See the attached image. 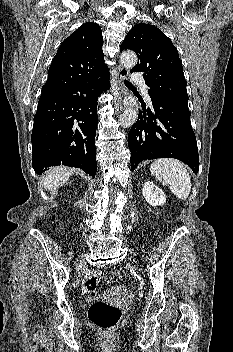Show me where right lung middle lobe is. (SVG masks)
Returning a JSON list of instances; mask_svg holds the SVG:
<instances>
[{"label":"right lung middle lobe","instance_id":"right-lung-middle-lobe-1","mask_svg":"<svg viewBox=\"0 0 233 352\" xmlns=\"http://www.w3.org/2000/svg\"><path fill=\"white\" fill-rule=\"evenodd\" d=\"M42 93H49V92H46V91H42Z\"/></svg>","mask_w":233,"mask_h":352}]
</instances>
